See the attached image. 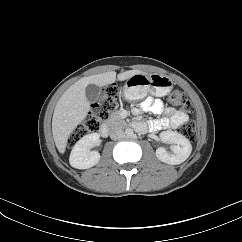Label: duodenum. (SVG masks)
I'll return each mask as SVG.
<instances>
[{
	"instance_id": "410a0bca",
	"label": "duodenum",
	"mask_w": 242,
	"mask_h": 242,
	"mask_svg": "<svg viewBox=\"0 0 242 242\" xmlns=\"http://www.w3.org/2000/svg\"><path fill=\"white\" fill-rule=\"evenodd\" d=\"M133 127H134V124H133ZM100 134H101V136H103V137L108 136V134H109V128H108L107 125L102 126V128H101V130H100Z\"/></svg>"
}]
</instances>
